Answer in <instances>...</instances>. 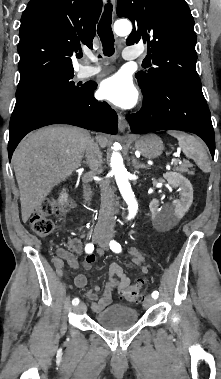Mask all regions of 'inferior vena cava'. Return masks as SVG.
I'll list each match as a JSON object with an SVG mask.
<instances>
[{"label":"inferior vena cava","mask_w":221,"mask_h":379,"mask_svg":"<svg viewBox=\"0 0 221 379\" xmlns=\"http://www.w3.org/2000/svg\"><path fill=\"white\" fill-rule=\"evenodd\" d=\"M87 164L91 170V174H100L102 169V153L99 150L98 144L93 140H89L86 147ZM101 188V208L97 222V229H105L112 231L115 225L114 219V204L115 194L110 188L109 183H102Z\"/></svg>","instance_id":"inferior-vena-cava-1"}]
</instances>
